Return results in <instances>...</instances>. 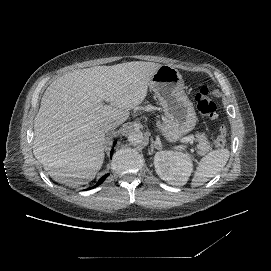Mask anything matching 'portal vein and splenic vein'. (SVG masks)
<instances>
[{
	"label": "portal vein and splenic vein",
	"instance_id": "18ae733b",
	"mask_svg": "<svg viewBox=\"0 0 271 271\" xmlns=\"http://www.w3.org/2000/svg\"><path fill=\"white\" fill-rule=\"evenodd\" d=\"M182 142H189L190 144H194L196 142V139L193 136H186L182 138Z\"/></svg>",
	"mask_w": 271,
	"mask_h": 271
}]
</instances>
